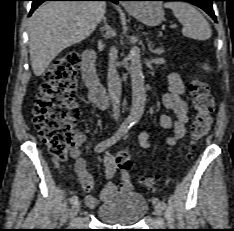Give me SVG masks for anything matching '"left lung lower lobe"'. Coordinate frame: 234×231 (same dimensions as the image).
I'll list each match as a JSON object with an SVG mask.
<instances>
[{
    "label": "left lung lower lobe",
    "mask_w": 234,
    "mask_h": 231,
    "mask_svg": "<svg viewBox=\"0 0 234 231\" xmlns=\"http://www.w3.org/2000/svg\"><path fill=\"white\" fill-rule=\"evenodd\" d=\"M141 1H187L190 2L204 11H206L216 22V16L214 15L213 9H212V2L216 0H141Z\"/></svg>",
    "instance_id": "0a47b994"
}]
</instances>
